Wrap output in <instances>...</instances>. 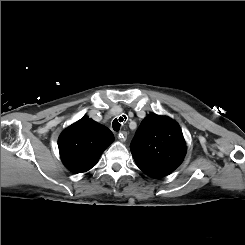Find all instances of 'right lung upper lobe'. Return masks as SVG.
<instances>
[{
    "instance_id": "cb5924a9",
    "label": "right lung upper lobe",
    "mask_w": 245,
    "mask_h": 245,
    "mask_svg": "<svg viewBox=\"0 0 245 245\" xmlns=\"http://www.w3.org/2000/svg\"><path fill=\"white\" fill-rule=\"evenodd\" d=\"M114 140L112 132L88 117L66 128L58 138L63 164L74 173L88 171Z\"/></svg>"
}]
</instances>
